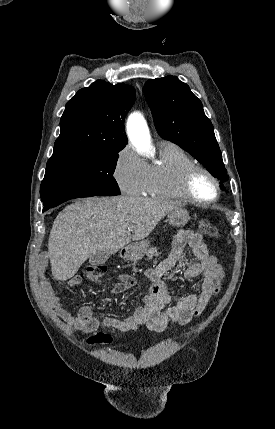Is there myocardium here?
<instances>
[{
	"mask_svg": "<svg viewBox=\"0 0 275 429\" xmlns=\"http://www.w3.org/2000/svg\"><path fill=\"white\" fill-rule=\"evenodd\" d=\"M203 173L211 179L216 188V194L211 199H201L197 197L193 191V180L197 174ZM180 188L185 198L196 204H211L216 202L221 194V184L218 178L206 167L193 164L185 169L181 176Z\"/></svg>",
	"mask_w": 275,
	"mask_h": 429,
	"instance_id": "myocardium-1",
	"label": "myocardium"
}]
</instances>
